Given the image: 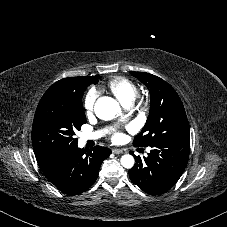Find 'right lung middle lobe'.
I'll return each instance as SVG.
<instances>
[{
    "instance_id": "obj_1",
    "label": "right lung middle lobe",
    "mask_w": 227,
    "mask_h": 227,
    "mask_svg": "<svg viewBox=\"0 0 227 227\" xmlns=\"http://www.w3.org/2000/svg\"><path fill=\"white\" fill-rule=\"evenodd\" d=\"M99 76L86 77L77 94H44L34 116L32 144L36 157L77 145L74 131L86 123L82 95Z\"/></svg>"
}]
</instances>
